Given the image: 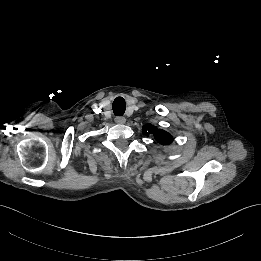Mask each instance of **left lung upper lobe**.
Instances as JSON below:
<instances>
[{
  "label": "left lung upper lobe",
  "mask_w": 261,
  "mask_h": 261,
  "mask_svg": "<svg viewBox=\"0 0 261 261\" xmlns=\"http://www.w3.org/2000/svg\"><path fill=\"white\" fill-rule=\"evenodd\" d=\"M143 133L146 135H153L155 140L163 145L170 144L173 141V137L168 132L158 129L151 124H146L143 127Z\"/></svg>",
  "instance_id": "left-lung-upper-lobe-1"
}]
</instances>
